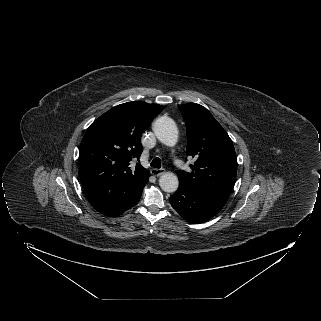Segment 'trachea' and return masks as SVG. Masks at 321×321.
<instances>
[{
  "mask_svg": "<svg viewBox=\"0 0 321 321\" xmlns=\"http://www.w3.org/2000/svg\"><path fill=\"white\" fill-rule=\"evenodd\" d=\"M150 165L153 168H158L159 169L161 167V159L158 158V157L154 158Z\"/></svg>",
  "mask_w": 321,
  "mask_h": 321,
  "instance_id": "trachea-1",
  "label": "trachea"
}]
</instances>
